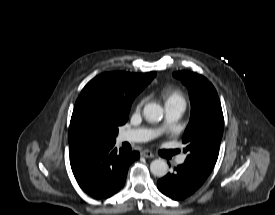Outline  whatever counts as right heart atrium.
<instances>
[{
	"label": "right heart atrium",
	"instance_id": "obj_1",
	"mask_svg": "<svg viewBox=\"0 0 275 215\" xmlns=\"http://www.w3.org/2000/svg\"><path fill=\"white\" fill-rule=\"evenodd\" d=\"M144 102H145V99H142V100L139 102L137 108H138V109L141 108Z\"/></svg>",
	"mask_w": 275,
	"mask_h": 215
}]
</instances>
